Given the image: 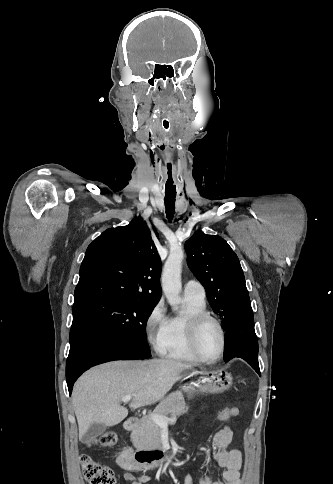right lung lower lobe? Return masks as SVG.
I'll return each instance as SVG.
<instances>
[{
    "instance_id": "obj_1",
    "label": "right lung lower lobe",
    "mask_w": 333,
    "mask_h": 484,
    "mask_svg": "<svg viewBox=\"0 0 333 484\" xmlns=\"http://www.w3.org/2000/svg\"><path fill=\"white\" fill-rule=\"evenodd\" d=\"M136 348L88 314H73L70 351L66 363L69 393L77 378L90 367L117 359H144Z\"/></svg>"
}]
</instances>
